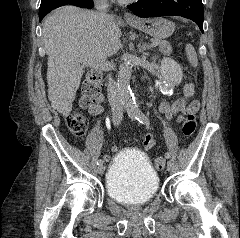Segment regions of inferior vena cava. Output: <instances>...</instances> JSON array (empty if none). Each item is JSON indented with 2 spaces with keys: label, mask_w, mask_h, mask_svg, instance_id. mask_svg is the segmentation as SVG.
Here are the masks:
<instances>
[{
  "label": "inferior vena cava",
  "mask_w": 240,
  "mask_h": 238,
  "mask_svg": "<svg viewBox=\"0 0 240 238\" xmlns=\"http://www.w3.org/2000/svg\"><path fill=\"white\" fill-rule=\"evenodd\" d=\"M96 12L93 17L101 23H107L113 19V16L107 14L109 10L108 0H93ZM108 101L111 105L113 117L115 120L120 121L123 118V103L119 94L118 85L110 79L107 88Z\"/></svg>",
  "instance_id": "602c4592"
}]
</instances>
